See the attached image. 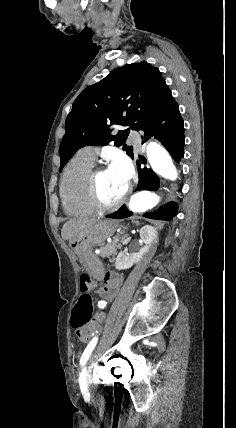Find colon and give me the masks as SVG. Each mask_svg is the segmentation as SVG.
<instances>
[{"label": "colon", "instance_id": "5ec220e1", "mask_svg": "<svg viewBox=\"0 0 236 428\" xmlns=\"http://www.w3.org/2000/svg\"><path fill=\"white\" fill-rule=\"evenodd\" d=\"M94 288L93 279L82 274L80 277L81 297L73 309L71 316V326L76 331L82 330L92 320L93 306L90 291Z\"/></svg>", "mask_w": 236, "mask_h": 428}]
</instances>
